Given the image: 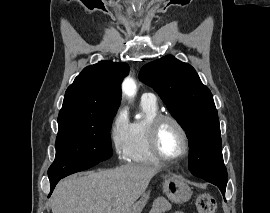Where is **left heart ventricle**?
Here are the masks:
<instances>
[{
	"label": "left heart ventricle",
	"instance_id": "1",
	"mask_svg": "<svg viewBox=\"0 0 270 213\" xmlns=\"http://www.w3.org/2000/svg\"><path fill=\"white\" fill-rule=\"evenodd\" d=\"M160 151L167 157H179L184 151V139L179 129L172 122H165L158 136Z\"/></svg>",
	"mask_w": 270,
	"mask_h": 213
}]
</instances>
